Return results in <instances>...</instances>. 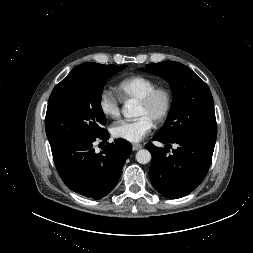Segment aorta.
I'll return each mask as SVG.
<instances>
[{"label":"aorta","instance_id":"obj_1","mask_svg":"<svg viewBox=\"0 0 253 253\" xmlns=\"http://www.w3.org/2000/svg\"><path fill=\"white\" fill-rule=\"evenodd\" d=\"M122 113L125 118H134L138 115V106L129 101L124 105ZM136 160L140 164H147L151 160V153L146 149H141L136 153Z\"/></svg>","mask_w":253,"mask_h":253}]
</instances>
